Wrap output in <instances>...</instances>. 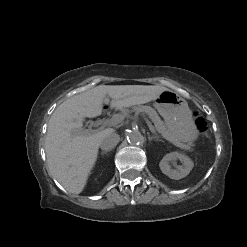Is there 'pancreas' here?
I'll use <instances>...</instances> for the list:
<instances>
[{
    "label": "pancreas",
    "mask_w": 247,
    "mask_h": 247,
    "mask_svg": "<svg viewBox=\"0 0 247 247\" xmlns=\"http://www.w3.org/2000/svg\"><path fill=\"white\" fill-rule=\"evenodd\" d=\"M133 112L135 113H140V112H144L146 113L149 118L152 120V122L155 125V129L156 131L166 140H168L169 142L173 143L174 145L184 148L186 150H190L191 147L188 144H184L182 143L179 139H177L175 137V135H173L167 128V126L164 124V122L160 119V117L158 116V114L156 113V111L154 109H152L149 106H135L132 108ZM130 112V110L128 109H124L122 110V113L120 114V116H122L123 118L125 116L128 115V113Z\"/></svg>",
    "instance_id": "cf45deb5"
}]
</instances>
